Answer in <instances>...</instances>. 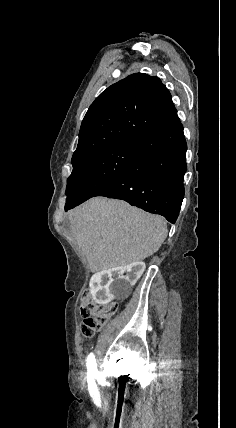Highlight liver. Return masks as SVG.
<instances>
[{
  "label": "liver",
  "instance_id": "obj_1",
  "mask_svg": "<svg viewBox=\"0 0 236 428\" xmlns=\"http://www.w3.org/2000/svg\"><path fill=\"white\" fill-rule=\"evenodd\" d=\"M68 218L91 272L145 260L158 252L168 234L162 216L147 214L123 200L91 198L71 210Z\"/></svg>",
  "mask_w": 236,
  "mask_h": 428
}]
</instances>
